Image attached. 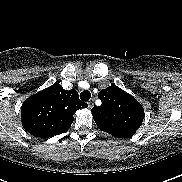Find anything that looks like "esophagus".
Masks as SVG:
<instances>
[{"label": "esophagus", "instance_id": "1", "mask_svg": "<svg viewBox=\"0 0 182 182\" xmlns=\"http://www.w3.org/2000/svg\"><path fill=\"white\" fill-rule=\"evenodd\" d=\"M88 107L89 108H92L93 107V105H94V99L92 98V99H90L89 101H88Z\"/></svg>", "mask_w": 182, "mask_h": 182}]
</instances>
